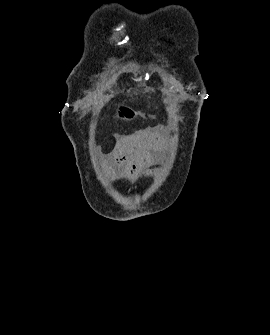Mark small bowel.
Listing matches in <instances>:
<instances>
[{"label":"small bowel","instance_id":"small-bowel-1","mask_svg":"<svg viewBox=\"0 0 270 335\" xmlns=\"http://www.w3.org/2000/svg\"><path fill=\"white\" fill-rule=\"evenodd\" d=\"M166 134L164 127L157 126L127 136L106 161L109 176L128 182L153 178L157 171L151 167L163 157Z\"/></svg>","mask_w":270,"mask_h":335}]
</instances>
